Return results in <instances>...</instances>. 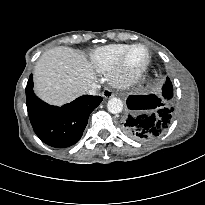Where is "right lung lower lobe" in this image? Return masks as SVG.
<instances>
[{
	"label": "right lung lower lobe",
	"mask_w": 205,
	"mask_h": 205,
	"mask_svg": "<svg viewBox=\"0 0 205 205\" xmlns=\"http://www.w3.org/2000/svg\"><path fill=\"white\" fill-rule=\"evenodd\" d=\"M32 75L26 86L27 110L36 135L52 147L64 148L78 142L90 113L102 102L100 96L83 95L56 107L40 100L33 92Z\"/></svg>",
	"instance_id": "obj_1"
}]
</instances>
